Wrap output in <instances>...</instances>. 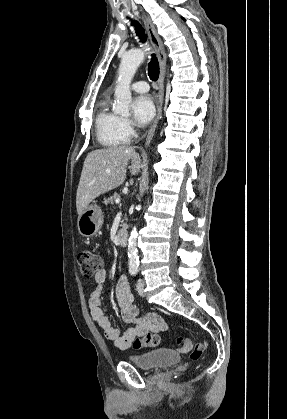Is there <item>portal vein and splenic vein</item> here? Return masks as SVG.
<instances>
[{"mask_svg":"<svg viewBox=\"0 0 287 419\" xmlns=\"http://www.w3.org/2000/svg\"><path fill=\"white\" fill-rule=\"evenodd\" d=\"M115 202L118 204V203H120V199L119 198H117L116 200H115Z\"/></svg>","mask_w":287,"mask_h":419,"instance_id":"1","label":"portal vein and splenic vein"}]
</instances>
